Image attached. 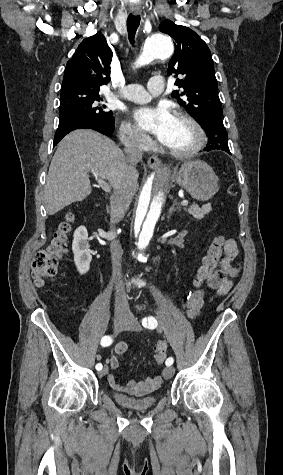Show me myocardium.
<instances>
[{
	"instance_id": "obj_1",
	"label": "myocardium",
	"mask_w": 283,
	"mask_h": 475,
	"mask_svg": "<svg viewBox=\"0 0 283 475\" xmlns=\"http://www.w3.org/2000/svg\"><path fill=\"white\" fill-rule=\"evenodd\" d=\"M178 117L185 120L189 123L196 132V139L191 147L184 151H173L166 147V145L162 142V147L166 151V153L173 159L183 161L186 159L193 158L196 156L204 147L207 135L203 125L191 114L187 112H179Z\"/></svg>"
}]
</instances>
